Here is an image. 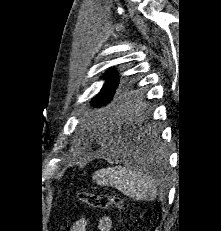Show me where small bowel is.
Masks as SVG:
<instances>
[{"label": "small bowel", "instance_id": "small-bowel-1", "mask_svg": "<svg viewBox=\"0 0 221 231\" xmlns=\"http://www.w3.org/2000/svg\"><path fill=\"white\" fill-rule=\"evenodd\" d=\"M87 219L82 217L78 219L71 227L70 231H87ZM112 229V220L109 216H102L97 222L98 231H111Z\"/></svg>", "mask_w": 221, "mask_h": 231}]
</instances>
